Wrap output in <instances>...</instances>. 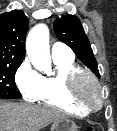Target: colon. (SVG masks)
I'll list each match as a JSON object with an SVG mask.
<instances>
[{
  "mask_svg": "<svg viewBox=\"0 0 117 131\" xmlns=\"http://www.w3.org/2000/svg\"><path fill=\"white\" fill-rule=\"evenodd\" d=\"M84 131H95V129L93 127H87Z\"/></svg>",
  "mask_w": 117,
  "mask_h": 131,
  "instance_id": "obj_1",
  "label": "colon"
}]
</instances>
